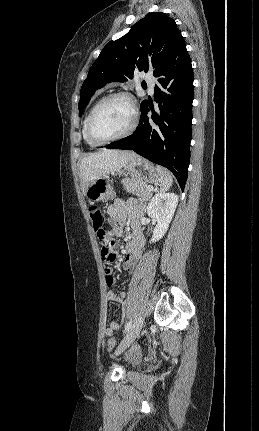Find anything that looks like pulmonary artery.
<instances>
[{
	"instance_id": "e3ab8cb5",
	"label": "pulmonary artery",
	"mask_w": 259,
	"mask_h": 431,
	"mask_svg": "<svg viewBox=\"0 0 259 431\" xmlns=\"http://www.w3.org/2000/svg\"><path fill=\"white\" fill-rule=\"evenodd\" d=\"M145 81L148 83L149 88H150V92H153L154 90V86H155V78L151 75H147L145 77Z\"/></svg>"
}]
</instances>
